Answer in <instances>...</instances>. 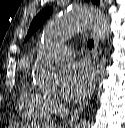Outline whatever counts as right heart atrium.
<instances>
[{
    "mask_svg": "<svg viewBox=\"0 0 125 128\" xmlns=\"http://www.w3.org/2000/svg\"><path fill=\"white\" fill-rule=\"evenodd\" d=\"M48 101L50 103V105L52 106L53 110H57L60 108L61 104L60 101L53 95H48L47 96Z\"/></svg>",
    "mask_w": 125,
    "mask_h": 128,
    "instance_id": "obj_1",
    "label": "right heart atrium"
}]
</instances>
